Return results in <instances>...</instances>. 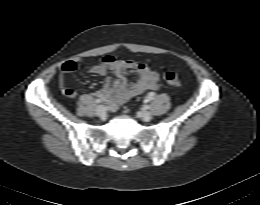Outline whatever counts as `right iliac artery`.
Listing matches in <instances>:
<instances>
[{
	"mask_svg": "<svg viewBox=\"0 0 260 205\" xmlns=\"http://www.w3.org/2000/svg\"><path fill=\"white\" fill-rule=\"evenodd\" d=\"M103 100L102 99H96V103H102Z\"/></svg>",
	"mask_w": 260,
	"mask_h": 205,
	"instance_id": "right-iliac-artery-1",
	"label": "right iliac artery"
}]
</instances>
